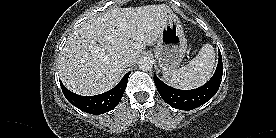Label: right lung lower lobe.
<instances>
[{"label":"right lung lower lobe","instance_id":"1","mask_svg":"<svg viewBox=\"0 0 276 138\" xmlns=\"http://www.w3.org/2000/svg\"><path fill=\"white\" fill-rule=\"evenodd\" d=\"M129 75L130 72L111 90L95 96L77 95L65 88L61 81L60 85L64 96L72 105L84 112L99 115L112 110L119 104L127 86Z\"/></svg>","mask_w":276,"mask_h":138}]
</instances>
